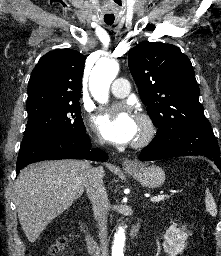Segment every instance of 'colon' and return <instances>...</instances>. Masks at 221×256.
Masks as SVG:
<instances>
[{"label":"colon","instance_id":"5ec220e1","mask_svg":"<svg viewBox=\"0 0 221 256\" xmlns=\"http://www.w3.org/2000/svg\"><path fill=\"white\" fill-rule=\"evenodd\" d=\"M64 249V241L63 239L59 240L58 242H56L54 245H52L49 254L51 256H56L58 254H60Z\"/></svg>","mask_w":221,"mask_h":256}]
</instances>
